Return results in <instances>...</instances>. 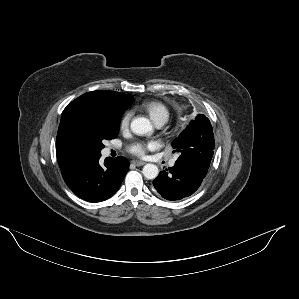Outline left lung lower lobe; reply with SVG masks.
Instances as JSON below:
<instances>
[{
    "label": "left lung lower lobe",
    "instance_id": "0a47b994",
    "mask_svg": "<svg viewBox=\"0 0 299 299\" xmlns=\"http://www.w3.org/2000/svg\"><path fill=\"white\" fill-rule=\"evenodd\" d=\"M207 172L208 168L199 163L178 158L173 167L159 174L153 185L163 198L180 200L192 195L200 187Z\"/></svg>",
    "mask_w": 299,
    "mask_h": 299
}]
</instances>
